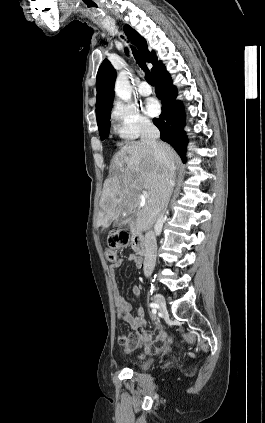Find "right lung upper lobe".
I'll use <instances>...</instances> for the list:
<instances>
[{"label":"right lung upper lobe","mask_w":265,"mask_h":423,"mask_svg":"<svg viewBox=\"0 0 265 423\" xmlns=\"http://www.w3.org/2000/svg\"><path fill=\"white\" fill-rule=\"evenodd\" d=\"M124 32L134 45L142 52L146 61L153 64V68L151 69V74L153 76L157 69L162 66L161 61L157 60L154 51L150 52L148 50L145 39L142 38L133 28L126 24L124 26ZM127 51L128 50L126 49V52ZM115 78L116 70L112 67L110 62L105 59L99 67L96 79V116L98 124L101 123L103 118L111 111L114 99L113 88Z\"/></svg>","instance_id":"right-lung-upper-lobe-1"}]
</instances>
